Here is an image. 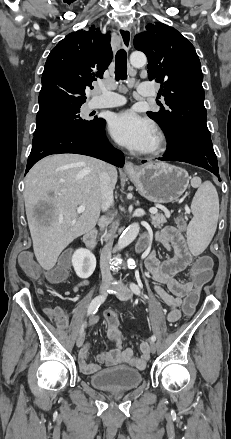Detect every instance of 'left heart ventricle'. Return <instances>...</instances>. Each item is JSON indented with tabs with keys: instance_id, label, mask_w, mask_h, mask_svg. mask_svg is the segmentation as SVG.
<instances>
[{
	"instance_id": "1",
	"label": "left heart ventricle",
	"mask_w": 231,
	"mask_h": 439,
	"mask_svg": "<svg viewBox=\"0 0 231 439\" xmlns=\"http://www.w3.org/2000/svg\"><path fill=\"white\" fill-rule=\"evenodd\" d=\"M154 143H155V139H154V142H153V144L151 145V147L154 145Z\"/></svg>"
}]
</instances>
